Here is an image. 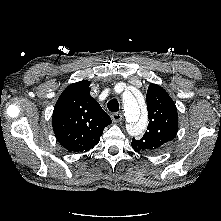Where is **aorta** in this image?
<instances>
[{"mask_svg": "<svg viewBox=\"0 0 221 221\" xmlns=\"http://www.w3.org/2000/svg\"><path fill=\"white\" fill-rule=\"evenodd\" d=\"M122 103L128 132L131 135L141 134L147 125L145 106L130 92L123 93Z\"/></svg>", "mask_w": 221, "mask_h": 221, "instance_id": "762f6f07", "label": "aorta"}]
</instances>
